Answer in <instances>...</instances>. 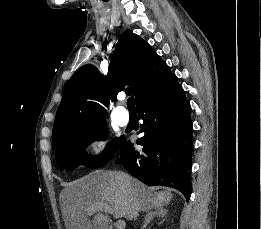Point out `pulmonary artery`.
Returning <instances> with one entry per match:
<instances>
[{"label": "pulmonary artery", "mask_w": 261, "mask_h": 229, "mask_svg": "<svg viewBox=\"0 0 261 229\" xmlns=\"http://www.w3.org/2000/svg\"><path fill=\"white\" fill-rule=\"evenodd\" d=\"M115 117L120 123H127L128 120H129L128 111L123 106H117L116 107Z\"/></svg>", "instance_id": "obj_1"}]
</instances>
